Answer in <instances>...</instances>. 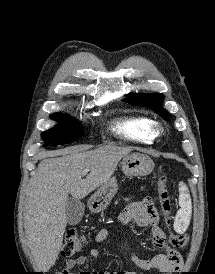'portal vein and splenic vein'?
I'll return each instance as SVG.
<instances>
[{
  "instance_id": "portal-vein-and-splenic-vein-1",
  "label": "portal vein and splenic vein",
  "mask_w": 215,
  "mask_h": 274,
  "mask_svg": "<svg viewBox=\"0 0 215 274\" xmlns=\"http://www.w3.org/2000/svg\"><path fill=\"white\" fill-rule=\"evenodd\" d=\"M88 172H89V170H84V171L82 172V176L87 175V174H88Z\"/></svg>"
}]
</instances>
